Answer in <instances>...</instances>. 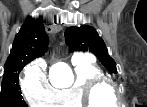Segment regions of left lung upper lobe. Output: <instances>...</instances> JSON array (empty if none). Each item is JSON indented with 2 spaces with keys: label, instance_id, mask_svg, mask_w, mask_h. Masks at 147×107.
Returning a JSON list of instances; mask_svg holds the SVG:
<instances>
[{
  "label": "left lung upper lobe",
  "instance_id": "left-lung-upper-lobe-1",
  "mask_svg": "<svg viewBox=\"0 0 147 107\" xmlns=\"http://www.w3.org/2000/svg\"><path fill=\"white\" fill-rule=\"evenodd\" d=\"M65 41L70 51L92 52L111 73H117L116 63L109 56L103 39L91 26L68 27L65 31Z\"/></svg>",
  "mask_w": 147,
  "mask_h": 107
}]
</instances>
